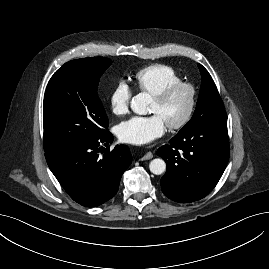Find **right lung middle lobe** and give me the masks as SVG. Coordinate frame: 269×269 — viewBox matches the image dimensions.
Masks as SVG:
<instances>
[{
  "label": "right lung middle lobe",
  "instance_id": "obj_1",
  "mask_svg": "<svg viewBox=\"0 0 269 269\" xmlns=\"http://www.w3.org/2000/svg\"><path fill=\"white\" fill-rule=\"evenodd\" d=\"M112 61L91 57L65 63L51 77L43 105L44 151H59L102 137L109 126L97 87Z\"/></svg>",
  "mask_w": 269,
  "mask_h": 269
}]
</instances>
